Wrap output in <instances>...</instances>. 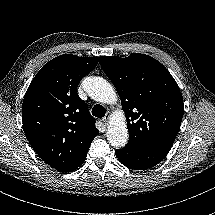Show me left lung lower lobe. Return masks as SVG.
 Listing matches in <instances>:
<instances>
[{
    "instance_id": "0a47b994",
    "label": "left lung lower lobe",
    "mask_w": 215,
    "mask_h": 215,
    "mask_svg": "<svg viewBox=\"0 0 215 215\" xmlns=\"http://www.w3.org/2000/svg\"><path fill=\"white\" fill-rule=\"evenodd\" d=\"M170 148H134L125 146L116 150L118 160L134 170H145L160 163L168 154Z\"/></svg>"
}]
</instances>
